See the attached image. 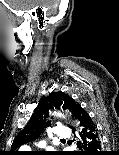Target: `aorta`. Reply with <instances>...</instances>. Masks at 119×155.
Returning a JSON list of instances; mask_svg holds the SVG:
<instances>
[{"instance_id":"762f6f07","label":"aorta","mask_w":119,"mask_h":155,"mask_svg":"<svg viewBox=\"0 0 119 155\" xmlns=\"http://www.w3.org/2000/svg\"><path fill=\"white\" fill-rule=\"evenodd\" d=\"M54 115H56V116H58V117H61V116H63L61 113H59V112H54Z\"/></svg>"}]
</instances>
